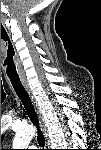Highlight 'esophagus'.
Here are the masks:
<instances>
[{
  "label": "esophagus",
  "mask_w": 101,
  "mask_h": 150,
  "mask_svg": "<svg viewBox=\"0 0 101 150\" xmlns=\"http://www.w3.org/2000/svg\"><path fill=\"white\" fill-rule=\"evenodd\" d=\"M21 81H22V84H23L25 90L27 91V93H28V95H29L31 101H32V104H33L35 110H36V113H37V115H38L39 122H40V125H41V130H42V132H43V134H44V136H45L46 143H47V129H46V126H45V124H44V120H43V117H42L40 108H39V106H38V103H37V101H36V99H35V97H34L32 91H31V89H30V87H29V84H28L27 80L22 79Z\"/></svg>",
  "instance_id": "1"
}]
</instances>
